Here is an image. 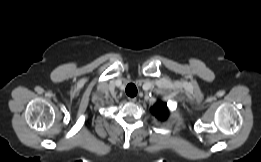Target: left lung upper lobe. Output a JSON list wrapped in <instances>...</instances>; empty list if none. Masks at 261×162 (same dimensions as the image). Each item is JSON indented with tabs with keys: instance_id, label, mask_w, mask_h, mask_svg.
<instances>
[{
	"instance_id": "left-lung-upper-lobe-1",
	"label": "left lung upper lobe",
	"mask_w": 261,
	"mask_h": 162,
	"mask_svg": "<svg viewBox=\"0 0 261 162\" xmlns=\"http://www.w3.org/2000/svg\"><path fill=\"white\" fill-rule=\"evenodd\" d=\"M152 113L161 120H165L168 115V108L166 103H157L152 107Z\"/></svg>"
}]
</instances>
